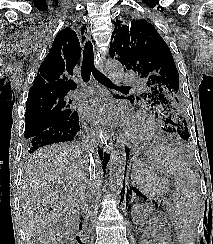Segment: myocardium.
<instances>
[{"mask_svg": "<svg viewBox=\"0 0 213 244\" xmlns=\"http://www.w3.org/2000/svg\"><path fill=\"white\" fill-rule=\"evenodd\" d=\"M132 122H139L143 128L140 132L134 133L130 131L129 127L124 132V138L129 142L140 143L151 139L156 132L155 121L143 112L137 113Z\"/></svg>", "mask_w": 213, "mask_h": 244, "instance_id": "f54148a6", "label": "myocardium"}]
</instances>
